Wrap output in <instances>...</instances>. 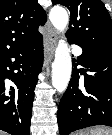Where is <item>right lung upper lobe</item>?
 <instances>
[{"instance_id":"1","label":"right lung upper lobe","mask_w":112,"mask_h":135,"mask_svg":"<svg viewBox=\"0 0 112 135\" xmlns=\"http://www.w3.org/2000/svg\"><path fill=\"white\" fill-rule=\"evenodd\" d=\"M46 20L37 0H0V58L41 35Z\"/></svg>"}]
</instances>
